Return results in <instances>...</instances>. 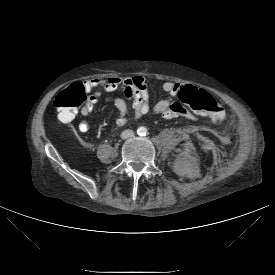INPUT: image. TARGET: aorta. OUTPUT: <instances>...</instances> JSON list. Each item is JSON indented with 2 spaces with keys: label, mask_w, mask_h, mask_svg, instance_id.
<instances>
[{
  "label": "aorta",
  "mask_w": 275,
  "mask_h": 275,
  "mask_svg": "<svg viewBox=\"0 0 275 275\" xmlns=\"http://www.w3.org/2000/svg\"><path fill=\"white\" fill-rule=\"evenodd\" d=\"M137 132L139 135H145L147 132V129L145 127H139Z\"/></svg>",
  "instance_id": "aorta-1"
}]
</instances>
